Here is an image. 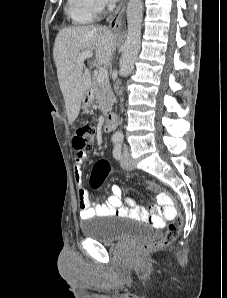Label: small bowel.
<instances>
[{
    "label": "small bowel",
    "mask_w": 227,
    "mask_h": 298,
    "mask_svg": "<svg viewBox=\"0 0 227 298\" xmlns=\"http://www.w3.org/2000/svg\"><path fill=\"white\" fill-rule=\"evenodd\" d=\"M88 156L85 150H76L74 156V179L78 186L79 216L82 220H87L95 216H127L146 218L148 211L145 207L131 204L130 210L123 205L122 188L112 185V194L106 203L99 197L90 198L88 190L83 187V168Z\"/></svg>",
    "instance_id": "1"
}]
</instances>
